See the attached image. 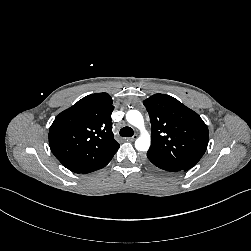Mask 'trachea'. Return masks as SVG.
Masks as SVG:
<instances>
[{"instance_id": "1", "label": "trachea", "mask_w": 251, "mask_h": 251, "mask_svg": "<svg viewBox=\"0 0 251 251\" xmlns=\"http://www.w3.org/2000/svg\"><path fill=\"white\" fill-rule=\"evenodd\" d=\"M120 136H123V137H131L133 136L134 134V131L131 127H123L120 132H119Z\"/></svg>"}]
</instances>
